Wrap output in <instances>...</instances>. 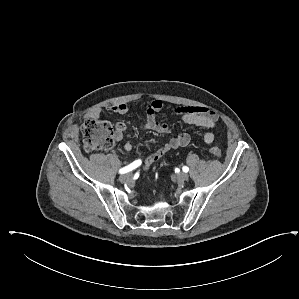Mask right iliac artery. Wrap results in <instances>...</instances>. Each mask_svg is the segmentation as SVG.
I'll return each instance as SVG.
<instances>
[{
	"instance_id": "right-iliac-artery-1",
	"label": "right iliac artery",
	"mask_w": 299,
	"mask_h": 299,
	"mask_svg": "<svg viewBox=\"0 0 299 299\" xmlns=\"http://www.w3.org/2000/svg\"><path fill=\"white\" fill-rule=\"evenodd\" d=\"M141 163H142V161L140 159L135 160L133 163L129 164L128 166H125V167L121 168L119 170V173L120 174H125L127 172H130V171L134 170L135 168H137L138 166H140Z\"/></svg>"
}]
</instances>
